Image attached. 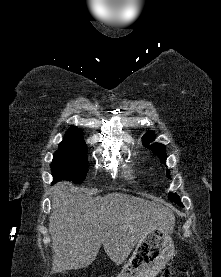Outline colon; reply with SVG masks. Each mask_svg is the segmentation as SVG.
<instances>
[{"label":"colon","instance_id":"5ec220e1","mask_svg":"<svg viewBox=\"0 0 221 277\" xmlns=\"http://www.w3.org/2000/svg\"><path fill=\"white\" fill-rule=\"evenodd\" d=\"M161 277H189V272L181 266H171L165 269Z\"/></svg>","mask_w":221,"mask_h":277}]
</instances>
